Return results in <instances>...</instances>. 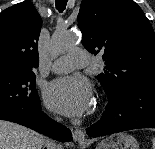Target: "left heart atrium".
Segmentation results:
<instances>
[{"instance_id": "39dd6f15", "label": "left heart atrium", "mask_w": 155, "mask_h": 149, "mask_svg": "<svg viewBox=\"0 0 155 149\" xmlns=\"http://www.w3.org/2000/svg\"><path fill=\"white\" fill-rule=\"evenodd\" d=\"M44 100L52 111L74 117L83 115L92 107L93 92L86 79L67 76L46 86Z\"/></svg>"}]
</instances>
